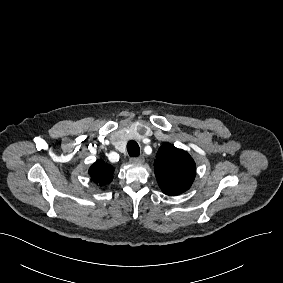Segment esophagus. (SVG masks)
Returning a JSON list of instances; mask_svg holds the SVG:
<instances>
[{"label": "esophagus", "instance_id": "esophagus-1", "mask_svg": "<svg viewBox=\"0 0 283 283\" xmlns=\"http://www.w3.org/2000/svg\"><path fill=\"white\" fill-rule=\"evenodd\" d=\"M145 161L144 156H138V157H131L130 162L133 164L143 163Z\"/></svg>", "mask_w": 283, "mask_h": 283}]
</instances>
